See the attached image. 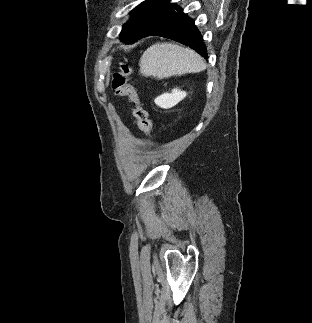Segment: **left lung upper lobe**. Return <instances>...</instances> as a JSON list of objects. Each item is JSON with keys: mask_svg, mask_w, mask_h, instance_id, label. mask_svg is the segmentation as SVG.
<instances>
[{"mask_svg": "<svg viewBox=\"0 0 312 323\" xmlns=\"http://www.w3.org/2000/svg\"><path fill=\"white\" fill-rule=\"evenodd\" d=\"M169 0H146L131 12V19L120 33L123 42H134L145 37L155 23L165 18L172 10Z\"/></svg>", "mask_w": 312, "mask_h": 323, "instance_id": "5c2ea615", "label": "left lung upper lobe"}]
</instances>
